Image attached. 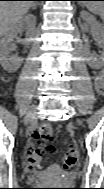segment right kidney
<instances>
[{
  "mask_svg": "<svg viewBox=\"0 0 104 189\" xmlns=\"http://www.w3.org/2000/svg\"><path fill=\"white\" fill-rule=\"evenodd\" d=\"M36 17L33 15H26L20 18L16 24L3 36L0 41V64L8 71L13 73L17 71L23 59L18 56H11L10 53L16 50V46L12 43L17 37V34L23 30L31 31L35 28ZM30 41L29 38L25 39L23 42L27 44Z\"/></svg>",
  "mask_w": 104,
  "mask_h": 189,
  "instance_id": "ca27d5eb",
  "label": "right kidney"
}]
</instances>
